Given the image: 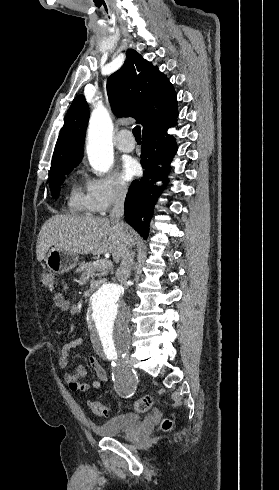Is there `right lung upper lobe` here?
I'll list each match as a JSON object with an SVG mask.
<instances>
[{
  "label": "right lung upper lobe",
  "mask_w": 279,
  "mask_h": 490,
  "mask_svg": "<svg viewBox=\"0 0 279 490\" xmlns=\"http://www.w3.org/2000/svg\"><path fill=\"white\" fill-rule=\"evenodd\" d=\"M120 70L107 81V93L117 117L132 116L143 126V135L175 122L176 93L164 74L133 49ZM89 110L83 95L77 96L65 118L52 158L50 172L79 164L83 157Z\"/></svg>",
  "instance_id": "obj_1"
}]
</instances>
